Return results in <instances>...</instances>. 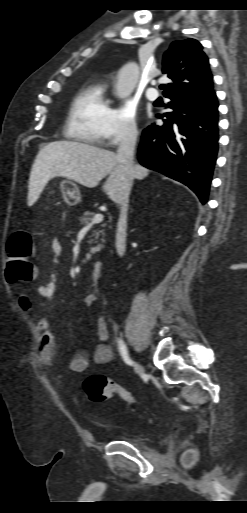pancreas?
I'll use <instances>...</instances> for the list:
<instances>
[{
  "label": "pancreas",
  "mask_w": 247,
  "mask_h": 513,
  "mask_svg": "<svg viewBox=\"0 0 247 513\" xmlns=\"http://www.w3.org/2000/svg\"><path fill=\"white\" fill-rule=\"evenodd\" d=\"M95 213L94 212H91V211H85L83 213L82 216L79 217V222L80 224L82 225H86L88 224L89 222L92 221L93 217H94ZM104 227V225H102ZM102 234V236L105 235V232H104V229L102 230H94L93 231V234H92V237H95L96 239L99 237V235ZM102 245H98L96 248L93 249V252H97L100 250Z\"/></svg>",
  "instance_id": "1"
}]
</instances>
